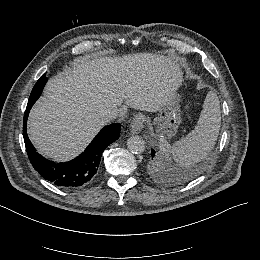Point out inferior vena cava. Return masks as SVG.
Masks as SVG:
<instances>
[{
    "label": "inferior vena cava",
    "mask_w": 260,
    "mask_h": 260,
    "mask_svg": "<svg viewBox=\"0 0 260 260\" xmlns=\"http://www.w3.org/2000/svg\"><path fill=\"white\" fill-rule=\"evenodd\" d=\"M117 104H113L109 107V111L107 112L106 114V117L109 119V120H113L117 117L118 115V109H117Z\"/></svg>",
    "instance_id": "obj_1"
}]
</instances>
